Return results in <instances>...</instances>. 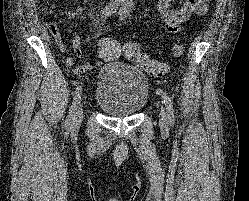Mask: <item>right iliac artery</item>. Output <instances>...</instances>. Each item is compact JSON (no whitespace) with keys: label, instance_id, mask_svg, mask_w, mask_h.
I'll return each mask as SVG.
<instances>
[{"label":"right iliac artery","instance_id":"1","mask_svg":"<svg viewBox=\"0 0 249 201\" xmlns=\"http://www.w3.org/2000/svg\"><path fill=\"white\" fill-rule=\"evenodd\" d=\"M124 1L125 0H114L110 2L108 5H106L101 13L102 20H105L107 17L115 13L116 10L119 8V6L123 5ZM81 93H82V87L79 85L75 90L73 102L69 110V115L67 116V119L65 121V127L67 130H70L73 126L76 110L81 99Z\"/></svg>","mask_w":249,"mask_h":201}]
</instances>
